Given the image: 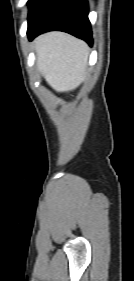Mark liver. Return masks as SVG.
Here are the masks:
<instances>
[{"instance_id":"1","label":"liver","mask_w":134,"mask_h":281,"mask_svg":"<svg viewBox=\"0 0 134 281\" xmlns=\"http://www.w3.org/2000/svg\"><path fill=\"white\" fill-rule=\"evenodd\" d=\"M37 66L57 92L76 89L84 80L89 48L85 42L62 32H49L34 41Z\"/></svg>"}]
</instances>
